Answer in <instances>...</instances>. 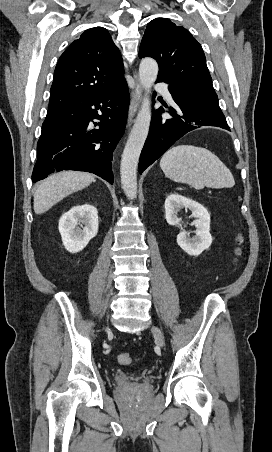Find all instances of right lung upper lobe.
Returning <instances> with one entry per match:
<instances>
[{
    "label": "right lung upper lobe",
    "mask_w": 272,
    "mask_h": 452,
    "mask_svg": "<svg viewBox=\"0 0 272 452\" xmlns=\"http://www.w3.org/2000/svg\"><path fill=\"white\" fill-rule=\"evenodd\" d=\"M121 54L105 28L86 30L61 55L50 90L48 112L68 110L124 81Z\"/></svg>",
    "instance_id": "right-lung-upper-lobe-1"
}]
</instances>
